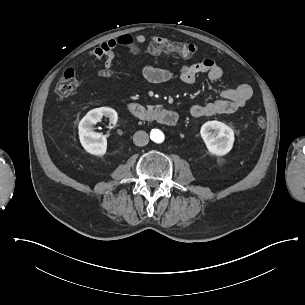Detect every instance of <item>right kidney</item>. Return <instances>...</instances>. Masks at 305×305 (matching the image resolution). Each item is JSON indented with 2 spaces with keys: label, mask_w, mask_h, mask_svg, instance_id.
Returning <instances> with one entry per match:
<instances>
[{
  "label": "right kidney",
  "mask_w": 305,
  "mask_h": 305,
  "mask_svg": "<svg viewBox=\"0 0 305 305\" xmlns=\"http://www.w3.org/2000/svg\"><path fill=\"white\" fill-rule=\"evenodd\" d=\"M103 116H106L113 123L118 120L116 111L109 107H102L90 110L78 125L80 143L84 150L94 156H103L107 153V144L101 134L93 132L92 126L97 124Z\"/></svg>",
  "instance_id": "obj_1"
}]
</instances>
